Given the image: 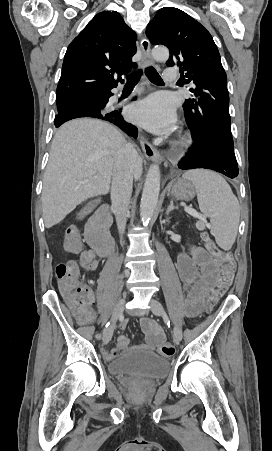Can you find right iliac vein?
Segmentation results:
<instances>
[{
    "label": "right iliac vein",
    "instance_id": "63e3f726",
    "mask_svg": "<svg viewBox=\"0 0 272 451\" xmlns=\"http://www.w3.org/2000/svg\"><path fill=\"white\" fill-rule=\"evenodd\" d=\"M125 303H126V297L124 296L115 304L113 312H112V322L105 329L104 334H103V343L104 344H107L111 340L113 331H114V327H115V321H117L118 318L122 315Z\"/></svg>",
    "mask_w": 272,
    "mask_h": 451
}]
</instances>
